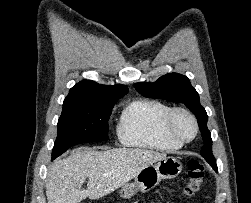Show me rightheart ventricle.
<instances>
[{
	"instance_id": "obj_1",
	"label": "right heart ventricle",
	"mask_w": 251,
	"mask_h": 203,
	"mask_svg": "<svg viewBox=\"0 0 251 203\" xmlns=\"http://www.w3.org/2000/svg\"><path fill=\"white\" fill-rule=\"evenodd\" d=\"M171 107L159 101L138 99L123 110L117 126L119 142L128 147L174 151L182 144L167 136L164 119Z\"/></svg>"
}]
</instances>
